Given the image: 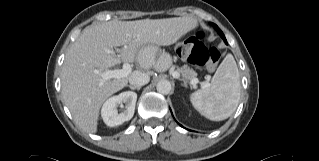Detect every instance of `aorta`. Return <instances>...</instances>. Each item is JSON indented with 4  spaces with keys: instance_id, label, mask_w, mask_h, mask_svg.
<instances>
[{
    "instance_id": "1",
    "label": "aorta",
    "mask_w": 319,
    "mask_h": 161,
    "mask_svg": "<svg viewBox=\"0 0 319 161\" xmlns=\"http://www.w3.org/2000/svg\"><path fill=\"white\" fill-rule=\"evenodd\" d=\"M156 89L160 94H164V95L169 94L171 91V83H170V81L165 80V79L160 80L157 83Z\"/></svg>"
}]
</instances>
